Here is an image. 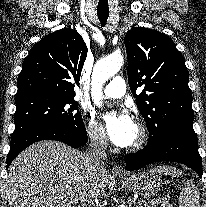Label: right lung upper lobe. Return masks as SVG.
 Listing matches in <instances>:
<instances>
[{"instance_id":"right-lung-upper-lobe-1","label":"right lung upper lobe","mask_w":206,"mask_h":207,"mask_svg":"<svg viewBox=\"0 0 206 207\" xmlns=\"http://www.w3.org/2000/svg\"><path fill=\"white\" fill-rule=\"evenodd\" d=\"M87 56L82 36L73 29L57 30L39 42L25 58L15 100L48 94L74 96Z\"/></svg>"}]
</instances>
